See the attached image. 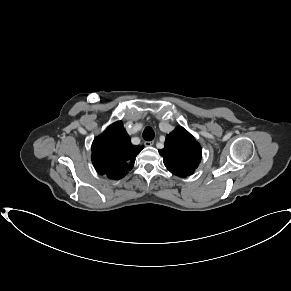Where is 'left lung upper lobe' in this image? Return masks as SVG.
<instances>
[{
  "label": "left lung upper lobe",
  "mask_w": 291,
  "mask_h": 291,
  "mask_svg": "<svg viewBox=\"0 0 291 291\" xmlns=\"http://www.w3.org/2000/svg\"><path fill=\"white\" fill-rule=\"evenodd\" d=\"M164 149L159 150L166 168L174 175L186 177L198 167L202 149L195 138L178 126L166 137Z\"/></svg>",
  "instance_id": "left-lung-upper-lobe-1"
}]
</instances>
